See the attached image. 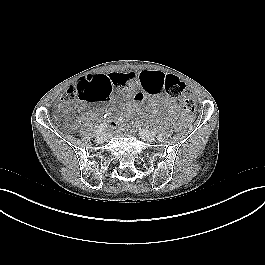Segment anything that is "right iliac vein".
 Masks as SVG:
<instances>
[{
  "mask_svg": "<svg viewBox=\"0 0 265 265\" xmlns=\"http://www.w3.org/2000/svg\"><path fill=\"white\" fill-rule=\"evenodd\" d=\"M106 140H107V137L104 133H101V134L97 135V137H96L97 143H104Z\"/></svg>",
  "mask_w": 265,
  "mask_h": 265,
  "instance_id": "obj_1",
  "label": "right iliac vein"
}]
</instances>
